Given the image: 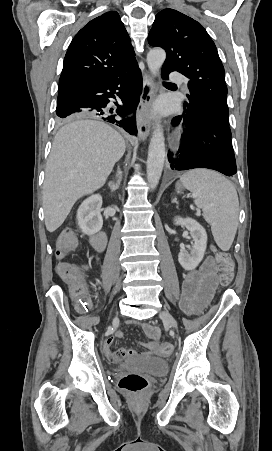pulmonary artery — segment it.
I'll return each mask as SVG.
<instances>
[{
  "instance_id": "1",
  "label": "pulmonary artery",
  "mask_w": 272,
  "mask_h": 451,
  "mask_svg": "<svg viewBox=\"0 0 272 451\" xmlns=\"http://www.w3.org/2000/svg\"><path fill=\"white\" fill-rule=\"evenodd\" d=\"M171 75H172L173 81L176 82V85H177L178 87H181V86L183 85V82H182V81H183L184 78H185L184 75L181 74V73L179 72V70H177V69L172 70Z\"/></svg>"
}]
</instances>
